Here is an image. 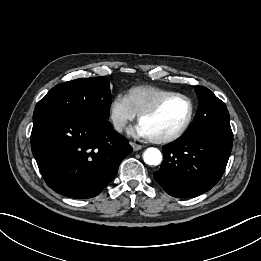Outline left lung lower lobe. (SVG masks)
<instances>
[{"mask_svg":"<svg viewBox=\"0 0 261 261\" xmlns=\"http://www.w3.org/2000/svg\"><path fill=\"white\" fill-rule=\"evenodd\" d=\"M232 143V130L181 136L163 147L164 161L153 176L173 197L198 196L221 179Z\"/></svg>","mask_w":261,"mask_h":261,"instance_id":"obj_1","label":"left lung lower lobe"}]
</instances>
